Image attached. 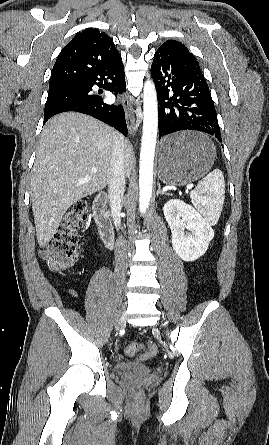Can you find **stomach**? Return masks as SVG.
I'll use <instances>...</instances> for the list:
<instances>
[{
    "instance_id": "obj_1",
    "label": "stomach",
    "mask_w": 269,
    "mask_h": 445,
    "mask_svg": "<svg viewBox=\"0 0 269 445\" xmlns=\"http://www.w3.org/2000/svg\"><path fill=\"white\" fill-rule=\"evenodd\" d=\"M173 144L174 152L165 147ZM216 156L214 144L204 135L185 131L165 137L160 144L158 177L166 185L182 186L205 175Z\"/></svg>"
}]
</instances>
